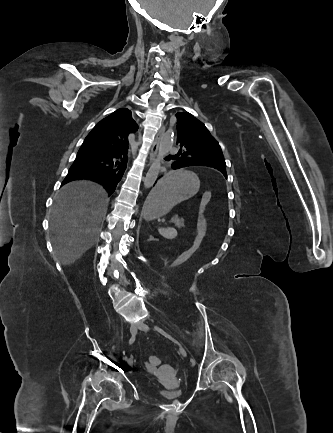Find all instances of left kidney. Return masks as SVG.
Returning <instances> with one entry per match:
<instances>
[{
  "label": "left kidney",
  "instance_id": "5707ae66",
  "mask_svg": "<svg viewBox=\"0 0 333 433\" xmlns=\"http://www.w3.org/2000/svg\"><path fill=\"white\" fill-rule=\"evenodd\" d=\"M171 230H173L174 232H176V233H177L176 229H174V228H171Z\"/></svg>",
  "mask_w": 333,
  "mask_h": 433
}]
</instances>
